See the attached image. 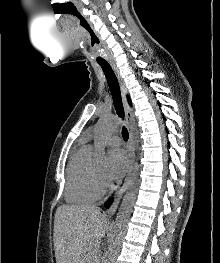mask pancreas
<instances>
[{
  "instance_id": "cf45deb5",
  "label": "pancreas",
  "mask_w": 220,
  "mask_h": 263,
  "mask_svg": "<svg viewBox=\"0 0 220 263\" xmlns=\"http://www.w3.org/2000/svg\"><path fill=\"white\" fill-rule=\"evenodd\" d=\"M97 253H98L97 247L93 248L92 252H91V255L94 257V256H96Z\"/></svg>"
}]
</instances>
